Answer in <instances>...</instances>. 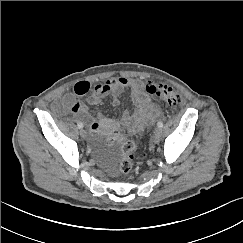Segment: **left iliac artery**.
<instances>
[{
	"label": "left iliac artery",
	"instance_id": "obj_1",
	"mask_svg": "<svg viewBox=\"0 0 243 243\" xmlns=\"http://www.w3.org/2000/svg\"><path fill=\"white\" fill-rule=\"evenodd\" d=\"M157 126H158L159 128H162V127H163V123L160 121V122L157 123Z\"/></svg>",
	"mask_w": 243,
	"mask_h": 243
}]
</instances>
